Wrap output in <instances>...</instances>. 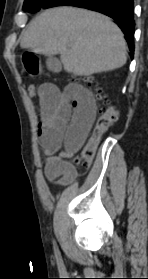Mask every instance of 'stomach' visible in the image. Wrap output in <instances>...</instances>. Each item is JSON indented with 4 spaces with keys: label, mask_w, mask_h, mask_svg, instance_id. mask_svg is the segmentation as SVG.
I'll list each match as a JSON object with an SVG mask.
<instances>
[{
    "label": "stomach",
    "mask_w": 148,
    "mask_h": 279,
    "mask_svg": "<svg viewBox=\"0 0 148 279\" xmlns=\"http://www.w3.org/2000/svg\"><path fill=\"white\" fill-rule=\"evenodd\" d=\"M21 63V69H25L24 75H28V78H47V75H51L48 64L37 50H24Z\"/></svg>",
    "instance_id": "1"
}]
</instances>
